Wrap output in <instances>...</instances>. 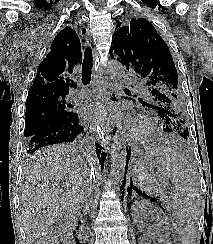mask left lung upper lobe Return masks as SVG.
I'll list each match as a JSON object with an SVG mask.
<instances>
[{
    "label": "left lung upper lobe",
    "instance_id": "5c2ea615",
    "mask_svg": "<svg viewBox=\"0 0 213 244\" xmlns=\"http://www.w3.org/2000/svg\"><path fill=\"white\" fill-rule=\"evenodd\" d=\"M116 26L112 51L118 61L136 74L141 93L134 98L154 110L166 125L167 133L189 137L184 96L178 73L165 41L144 18L132 19L129 26ZM135 102L134 99H131Z\"/></svg>",
    "mask_w": 213,
    "mask_h": 244
}]
</instances>
